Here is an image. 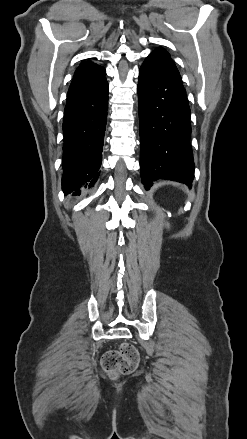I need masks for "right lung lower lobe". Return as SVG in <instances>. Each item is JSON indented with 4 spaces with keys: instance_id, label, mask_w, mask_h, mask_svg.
<instances>
[{
    "instance_id": "obj_1",
    "label": "right lung lower lobe",
    "mask_w": 247,
    "mask_h": 439,
    "mask_svg": "<svg viewBox=\"0 0 247 439\" xmlns=\"http://www.w3.org/2000/svg\"><path fill=\"white\" fill-rule=\"evenodd\" d=\"M108 83L67 95L64 112V194L82 185L93 186L99 176L107 121ZM78 194V192H77Z\"/></svg>"
}]
</instances>
